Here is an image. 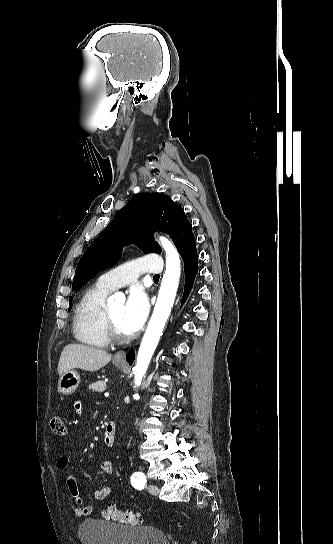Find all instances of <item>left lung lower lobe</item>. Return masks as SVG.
<instances>
[{
  "label": "left lung lower lobe",
  "mask_w": 333,
  "mask_h": 544,
  "mask_svg": "<svg viewBox=\"0 0 333 544\" xmlns=\"http://www.w3.org/2000/svg\"><path fill=\"white\" fill-rule=\"evenodd\" d=\"M197 260H198V255H197L196 248L189 251L183 257L184 271H185V289H184V295L182 297V301H185L193 285L194 278L197 274ZM126 359L131 364L134 360V353L130 352L127 355Z\"/></svg>",
  "instance_id": "left-lung-lower-lobe-1"
}]
</instances>
